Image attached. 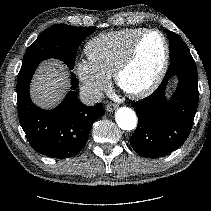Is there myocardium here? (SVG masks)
Returning <instances> with one entry per match:
<instances>
[{
  "mask_svg": "<svg viewBox=\"0 0 211 211\" xmlns=\"http://www.w3.org/2000/svg\"><path fill=\"white\" fill-rule=\"evenodd\" d=\"M150 33H157L163 42V47H164V55H163V60L161 63V66L156 74V76L153 78V80L146 85L145 87L135 90V91H128L125 90L122 87L121 80L123 75L130 69V67L134 64L138 51L140 48V45L144 39V37ZM170 63V46L167 37L165 34L160 31L159 29L156 28H147L144 29L133 41L131 47L129 48L128 52L124 56V58L120 61L118 66L116 67L113 77L116 85L123 90L128 96L134 99H143L150 94H152L161 84L163 81L169 67Z\"/></svg>",
  "mask_w": 211,
  "mask_h": 211,
  "instance_id": "1",
  "label": "myocardium"
}]
</instances>
